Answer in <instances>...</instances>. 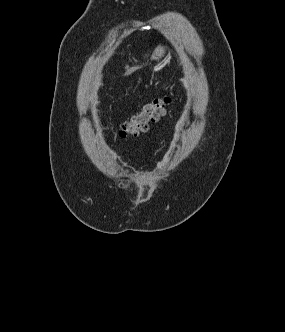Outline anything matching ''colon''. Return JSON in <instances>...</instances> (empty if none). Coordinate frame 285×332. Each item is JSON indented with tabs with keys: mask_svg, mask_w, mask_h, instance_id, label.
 Here are the masks:
<instances>
[{
	"mask_svg": "<svg viewBox=\"0 0 285 332\" xmlns=\"http://www.w3.org/2000/svg\"><path fill=\"white\" fill-rule=\"evenodd\" d=\"M169 103L170 98L164 97L146 104L139 113L133 115L123 123L119 131V136L126 138L137 136L144 132L151 122L158 121L164 116Z\"/></svg>",
	"mask_w": 285,
	"mask_h": 332,
	"instance_id": "obj_1",
	"label": "colon"
}]
</instances>
